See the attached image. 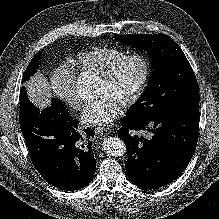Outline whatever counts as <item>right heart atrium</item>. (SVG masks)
<instances>
[{
  "label": "right heart atrium",
  "mask_w": 219,
  "mask_h": 219,
  "mask_svg": "<svg viewBox=\"0 0 219 219\" xmlns=\"http://www.w3.org/2000/svg\"><path fill=\"white\" fill-rule=\"evenodd\" d=\"M75 74L66 67H59L51 75V89L59 99L68 107L74 110H81L84 101L75 91Z\"/></svg>",
  "instance_id": "right-heart-atrium-1"
}]
</instances>
